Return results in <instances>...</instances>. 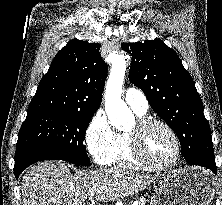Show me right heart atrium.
Listing matches in <instances>:
<instances>
[{"label": "right heart atrium", "mask_w": 222, "mask_h": 205, "mask_svg": "<svg viewBox=\"0 0 222 205\" xmlns=\"http://www.w3.org/2000/svg\"><path fill=\"white\" fill-rule=\"evenodd\" d=\"M116 134L106 115L102 111H98L85 132L87 148L97 164H107L115 146Z\"/></svg>", "instance_id": "right-heart-atrium-1"}]
</instances>
